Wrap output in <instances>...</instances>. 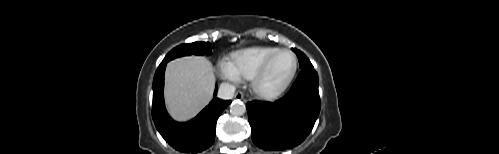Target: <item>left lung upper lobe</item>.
<instances>
[{"mask_svg": "<svg viewBox=\"0 0 499 154\" xmlns=\"http://www.w3.org/2000/svg\"><path fill=\"white\" fill-rule=\"evenodd\" d=\"M295 53L298 57L301 69H314L310 60L306 57V55L304 53H302L301 51H297Z\"/></svg>", "mask_w": 499, "mask_h": 154, "instance_id": "1", "label": "left lung upper lobe"}]
</instances>
